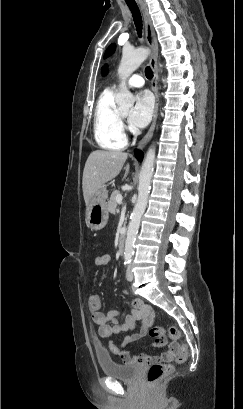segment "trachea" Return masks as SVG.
Here are the masks:
<instances>
[{"mask_svg": "<svg viewBox=\"0 0 243 409\" xmlns=\"http://www.w3.org/2000/svg\"><path fill=\"white\" fill-rule=\"evenodd\" d=\"M133 16L136 31L139 37H142V18L140 10L134 1L125 0ZM145 75L148 79L153 78V72L149 66L145 68Z\"/></svg>", "mask_w": 243, "mask_h": 409, "instance_id": "3493384b", "label": "trachea"}]
</instances>
